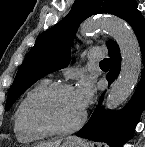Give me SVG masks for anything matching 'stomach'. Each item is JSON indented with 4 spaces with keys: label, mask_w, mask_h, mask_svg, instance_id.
I'll use <instances>...</instances> for the list:
<instances>
[{
    "label": "stomach",
    "mask_w": 145,
    "mask_h": 147,
    "mask_svg": "<svg viewBox=\"0 0 145 147\" xmlns=\"http://www.w3.org/2000/svg\"><path fill=\"white\" fill-rule=\"evenodd\" d=\"M62 147H82V145L79 144L76 141L67 140V141L64 142V144L62 145Z\"/></svg>",
    "instance_id": "stomach-1"
}]
</instances>
